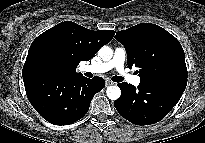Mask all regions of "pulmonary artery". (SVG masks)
<instances>
[{"mask_svg": "<svg viewBox=\"0 0 205 143\" xmlns=\"http://www.w3.org/2000/svg\"><path fill=\"white\" fill-rule=\"evenodd\" d=\"M125 59H126L125 49L122 47H118L115 49L114 55L111 60L107 62H100L92 65L83 66L82 71L100 74V73L108 72L109 70L114 68L119 73L120 77L123 78V80L137 86L140 84L141 79L139 76L129 74L124 69Z\"/></svg>", "mask_w": 205, "mask_h": 143, "instance_id": "e3ab8cb5", "label": "pulmonary artery"}]
</instances>
